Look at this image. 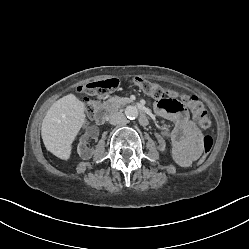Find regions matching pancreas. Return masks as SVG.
<instances>
[{"label": "pancreas", "instance_id": "obj_1", "mask_svg": "<svg viewBox=\"0 0 249 249\" xmlns=\"http://www.w3.org/2000/svg\"><path fill=\"white\" fill-rule=\"evenodd\" d=\"M130 102L129 98H122L119 96H114L108 99L107 103H117V104H123Z\"/></svg>", "mask_w": 249, "mask_h": 249}]
</instances>
